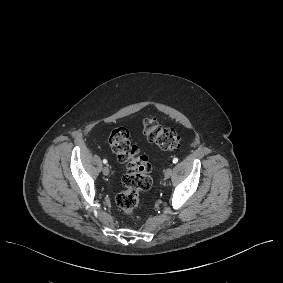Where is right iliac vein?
Segmentation results:
<instances>
[{
	"mask_svg": "<svg viewBox=\"0 0 283 283\" xmlns=\"http://www.w3.org/2000/svg\"><path fill=\"white\" fill-rule=\"evenodd\" d=\"M102 172L105 176L109 175V168L107 166H104L103 169H102Z\"/></svg>",
	"mask_w": 283,
	"mask_h": 283,
	"instance_id": "1",
	"label": "right iliac vein"
}]
</instances>
